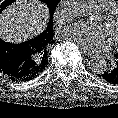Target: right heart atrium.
I'll use <instances>...</instances> for the list:
<instances>
[{"instance_id":"obj_1","label":"right heart atrium","mask_w":118,"mask_h":118,"mask_svg":"<svg viewBox=\"0 0 118 118\" xmlns=\"http://www.w3.org/2000/svg\"><path fill=\"white\" fill-rule=\"evenodd\" d=\"M71 0H62V6L66 5L67 3H69ZM65 13L64 8H58L54 14L55 19L58 22H63L66 20V18L63 16V14Z\"/></svg>"}]
</instances>
